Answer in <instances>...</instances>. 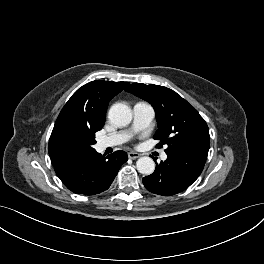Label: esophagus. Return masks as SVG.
Listing matches in <instances>:
<instances>
[{"label": "esophagus", "instance_id": "34e87169", "mask_svg": "<svg viewBox=\"0 0 264 264\" xmlns=\"http://www.w3.org/2000/svg\"><path fill=\"white\" fill-rule=\"evenodd\" d=\"M141 155L139 154V153H136V152H129L128 153V157L130 158V159H137V158H139Z\"/></svg>", "mask_w": 264, "mask_h": 264}]
</instances>
